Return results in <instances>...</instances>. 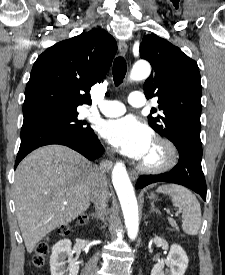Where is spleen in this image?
I'll list each match as a JSON object with an SVG mask.
<instances>
[{"label":"spleen","mask_w":225,"mask_h":275,"mask_svg":"<svg viewBox=\"0 0 225 275\" xmlns=\"http://www.w3.org/2000/svg\"><path fill=\"white\" fill-rule=\"evenodd\" d=\"M156 191L169 195L173 205L182 211L183 231L192 236L198 234L201 228V207L195 195L187 188L176 184L159 186Z\"/></svg>","instance_id":"1"}]
</instances>
